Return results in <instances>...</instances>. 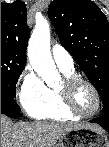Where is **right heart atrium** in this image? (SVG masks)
<instances>
[{
    "label": "right heart atrium",
    "mask_w": 109,
    "mask_h": 147,
    "mask_svg": "<svg viewBox=\"0 0 109 147\" xmlns=\"http://www.w3.org/2000/svg\"><path fill=\"white\" fill-rule=\"evenodd\" d=\"M16 97L24 110L31 114L34 110L47 106L52 95L40 77L30 67H26L18 78Z\"/></svg>",
    "instance_id": "d8ad5b80"
}]
</instances>
